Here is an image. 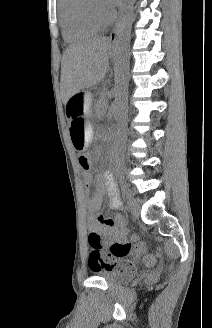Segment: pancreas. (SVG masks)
<instances>
[{
  "label": "pancreas",
  "instance_id": "pancreas-1",
  "mask_svg": "<svg viewBox=\"0 0 212 328\" xmlns=\"http://www.w3.org/2000/svg\"><path fill=\"white\" fill-rule=\"evenodd\" d=\"M106 106H107V104H106V102L104 101V100H100L98 103H97V107L99 108V109H105L106 108Z\"/></svg>",
  "mask_w": 212,
  "mask_h": 328
}]
</instances>
